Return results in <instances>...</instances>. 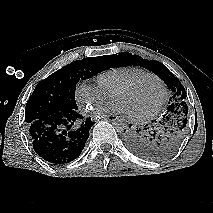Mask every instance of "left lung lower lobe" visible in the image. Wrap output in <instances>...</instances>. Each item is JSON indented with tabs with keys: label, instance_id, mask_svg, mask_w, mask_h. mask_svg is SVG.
<instances>
[{
	"label": "left lung lower lobe",
	"instance_id": "0a47b994",
	"mask_svg": "<svg viewBox=\"0 0 213 213\" xmlns=\"http://www.w3.org/2000/svg\"><path fill=\"white\" fill-rule=\"evenodd\" d=\"M163 116L159 121L152 122L143 129H134L131 128V125L128 130L125 129L124 142L129 150L138 156L151 159L154 138H156L162 124H164V119H166V115Z\"/></svg>",
	"mask_w": 213,
	"mask_h": 213
}]
</instances>
